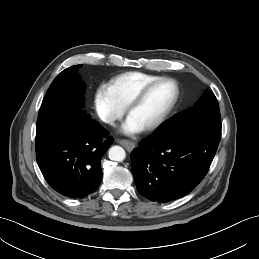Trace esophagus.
I'll use <instances>...</instances> for the list:
<instances>
[{"mask_svg":"<svg viewBox=\"0 0 259 259\" xmlns=\"http://www.w3.org/2000/svg\"><path fill=\"white\" fill-rule=\"evenodd\" d=\"M117 143L124 146L128 151H132L135 147V143L125 139H118Z\"/></svg>","mask_w":259,"mask_h":259,"instance_id":"obj_1","label":"esophagus"}]
</instances>
